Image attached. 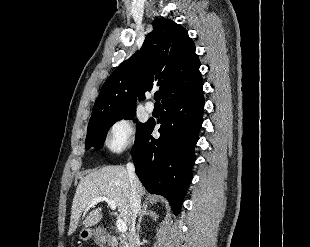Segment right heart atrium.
Listing matches in <instances>:
<instances>
[{"label": "right heart atrium", "instance_id": "obj_1", "mask_svg": "<svg viewBox=\"0 0 310 247\" xmlns=\"http://www.w3.org/2000/svg\"><path fill=\"white\" fill-rule=\"evenodd\" d=\"M134 138V126L131 120L123 118L115 121L106 133L104 144L112 153H120L129 148Z\"/></svg>", "mask_w": 310, "mask_h": 247}]
</instances>
